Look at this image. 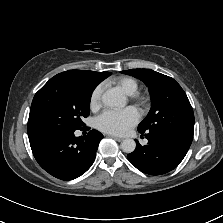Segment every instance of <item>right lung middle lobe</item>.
I'll return each mask as SVG.
<instances>
[{"label": "right lung middle lobe", "mask_w": 223, "mask_h": 223, "mask_svg": "<svg viewBox=\"0 0 223 223\" xmlns=\"http://www.w3.org/2000/svg\"><path fill=\"white\" fill-rule=\"evenodd\" d=\"M94 87L48 81L34 96L29 120V141L48 135L82 129L90 114Z\"/></svg>", "instance_id": "1"}]
</instances>
